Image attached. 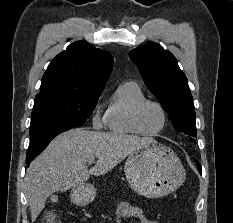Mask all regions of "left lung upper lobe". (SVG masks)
<instances>
[{"mask_svg":"<svg viewBox=\"0 0 233 223\" xmlns=\"http://www.w3.org/2000/svg\"><path fill=\"white\" fill-rule=\"evenodd\" d=\"M129 57L138 66L148 89L170 115L174 128L196 137L193 98L173 54L157 43H149L131 50Z\"/></svg>","mask_w":233,"mask_h":223,"instance_id":"obj_1","label":"left lung upper lobe"}]
</instances>
